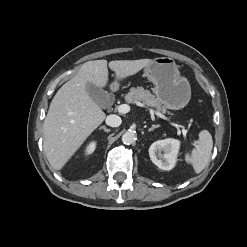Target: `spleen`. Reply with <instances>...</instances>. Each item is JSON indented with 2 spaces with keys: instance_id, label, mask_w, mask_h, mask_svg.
Listing matches in <instances>:
<instances>
[{
  "instance_id": "obj_1",
  "label": "spleen",
  "mask_w": 247,
  "mask_h": 247,
  "mask_svg": "<svg viewBox=\"0 0 247 247\" xmlns=\"http://www.w3.org/2000/svg\"><path fill=\"white\" fill-rule=\"evenodd\" d=\"M198 142L191 154L185 155V160L193 166L195 173H200L208 164L213 147V140L208 130H202L198 134Z\"/></svg>"
}]
</instances>
